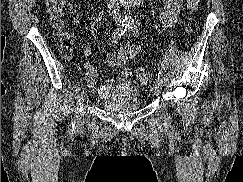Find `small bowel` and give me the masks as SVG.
<instances>
[{"label":"small bowel","instance_id":"1","mask_svg":"<svg viewBox=\"0 0 243 182\" xmlns=\"http://www.w3.org/2000/svg\"><path fill=\"white\" fill-rule=\"evenodd\" d=\"M162 2L164 10L161 14V23L167 29L175 24L183 0H162ZM118 41L119 38H114L113 35L110 36L108 45L115 49L107 53V63L110 68L120 71V78L116 82L108 81L105 84H99L100 72L89 61L90 47L87 44L84 45L86 83L99 97L109 101H116L135 91V87L130 81L131 71L126 67V63L137 55L140 51V45L137 43H126L116 47Z\"/></svg>","mask_w":243,"mask_h":182}]
</instances>
